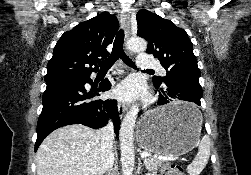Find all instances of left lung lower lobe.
Returning <instances> with one entry per match:
<instances>
[{
    "instance_id": "obj_1",
    "label": "left lung lower lobe",
    "mask_w": 251,
    "mask_h": 175,
    "mask_svg": "<svg viewBox=\"0 0 251 175\" xmlns=\"http://www.w3.org/2000/svg\"><path fill=\"white\" fill-rule=\"evenodd\" d=\"M165 85L167 86L165 89L156 85L162 91L159 105L169 103L171 98L190 103L155 115L150 118V121H191L200 117L201 108L199 106H201L202 89L199 81L183 76H174L168 79Z\"/></svg>"
}]
</instances>
